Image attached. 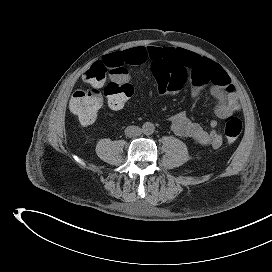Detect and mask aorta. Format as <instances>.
Segmentation results:
<instances>
[{"label": "aorta", "mask_w": 272, "mask_h": 272, "mask_svg": "<svg viewBox=\"0 0 272 272\" xmlns=\"http://www.w3.org/2000/svg\"><path fill=\"white\" fill-rule=\"evenodd\" d=\"M155 131V126L153 123L151 122H145L142 126V132L145 134V135H151L153 134Z\"/></svg>", "instance_id": "1"}]
</instances>
